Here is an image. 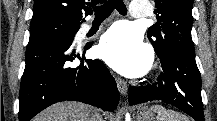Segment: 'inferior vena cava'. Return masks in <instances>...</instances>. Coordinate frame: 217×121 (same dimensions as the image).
Wrapping results in <instances>:
<instances>
[{
    "label": "inferior vena cava",
    "mask_w": 217,
    "mask_h": 121,
    "mask_svg": "<svg viewBox=\"0 0 217 121\" xmlns=\"http://www.w3.org/2000/svg\"><path fill=\"white\" fill-rule=\"evenodd\" d=\"M91 121H100V116L98 114L97 111H93L92 115H91Z\"/></svg>",
    "instance_id": "inferior-vena-cava-1"
}]
</instances>
